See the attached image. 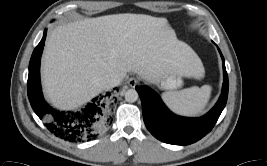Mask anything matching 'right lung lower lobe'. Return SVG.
I'll use <instances>...</instances> for the list:
<instances>
[{
	"instance_id": "1",
	"label": "right lung lower lobe",
	"mask_w": 267,
	"mask_h": 166,
	"mask_svg": "<svg viewBox=\"0 0 267 166\" xmlns=\"http://www.w3.org/2000/svg\"><path fill=\"white\" fill-rule=\"evenodd\" d=\"M45 39L46 31L34 49L29 63L27 90L30 104L56 137L75 143L95 139L113 120V97L110 92L100 95L76 111H59L50 107L42 96L39 72Z\"/></svg>"
}]
</instances>
